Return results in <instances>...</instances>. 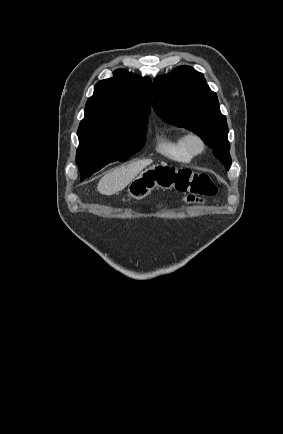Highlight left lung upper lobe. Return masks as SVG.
<instances>
[{
    "label": "left lung upper lobe",
    "mask_w": 283,
    "mask_h": 434,
    "mask_svg": "<svg viewBox=\"0 0 283 434\" xmlns=\"http://www.w3.org/2000/svg\"><path fill=\"white\" fill-rule=\"evenodd\" d=\"M153 108L166 123L186 128L202 138L214 156L229 170L231 157L226 117L215 92L202 73L179 66L153 82Z\"/></svg>",
    "instance_id": "left-lung-upper-lobe-1"
}]
</instances>
